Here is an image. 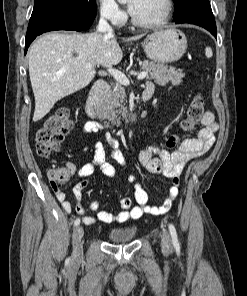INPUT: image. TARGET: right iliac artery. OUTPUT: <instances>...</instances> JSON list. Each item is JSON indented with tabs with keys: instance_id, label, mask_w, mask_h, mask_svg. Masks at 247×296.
<instances>
[{
	"instance_id": "82829eb1",
	"label": "right iliac artery",
	"mask_w": 247,
	"mask_h": 296,
	"mask_svg": "<svg viewBox=\"0 0 247 296\" xmlns=\"http://www.w3.org/2000/svg\"><path fill=\"white\" fill-rule=\"evenodd\" d=\"M80 224V219L77 218L75 221H74V226H78Z\"/></svg>"
}]
</instances>
